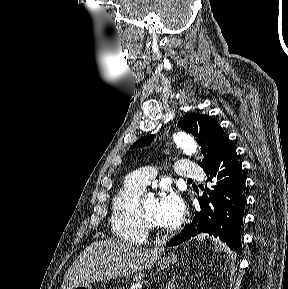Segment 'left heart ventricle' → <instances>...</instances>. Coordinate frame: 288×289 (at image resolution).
<instances>
[{"label":"left heart ventricle","mask_w":288,"mask_h":289,"mask_svg":"<svg viewBox=\"0 0 288 289\" xmlns=\"http://www.w3.org/2000/svg\"><path fill=\"white\" fill-rule=\"evenodd\" d=\"M143 211L145 215L158 227H161L157 221V200L146 197L143 200Z\"/></svg>","instance_id":"obj_1"}]
</instances>
